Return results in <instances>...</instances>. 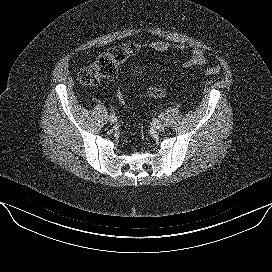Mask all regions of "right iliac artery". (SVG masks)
<instances>
[{"mask_svg":"<svg viewBox=\"0 0 272 272\" xmlns=\"http://www.w3.org/2000/svg\"><path fill=\"white\" fill-rule=\"evenodd\" d=\"M109 117H115V115L114 114H110V116Z\"/></svg>","mask_w":272,"mask_h":272,"instance_id":"obj_1","label":"right iliac artery"}]
</instances>
